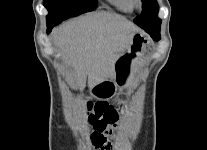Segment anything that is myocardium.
<instances>
[{"instance_id": "obj_1", "label": "myocardium", "mask_w": 207, "mask_h": 150, "mask_svg": "<svg viewBox=\"0 0 207 150\" xmlns=\"http://www.w3.org/2000/svg\"><path fill=\"white\" fill-rule=\"evenodd\" d=\"M132 3L135 8H141V6H142L141 0H132Z\"/></svg>"}]
</instances>
